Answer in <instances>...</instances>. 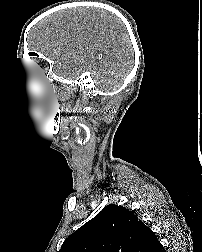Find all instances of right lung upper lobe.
<instances>
[{
    "instance_id": "obj_1",
    "label": "right lung upper lobe",
    "mask_w": 202,
    "mask_h": 252,
    "mask_svg": "<svg viewBox=\"0 0 202 252\" xmlns=\"http://www.w3.org/2000/svg\"><path fill=\"white\" fill-rule=\"evenodd\" d=\"M152 230L122 206L110 204L71 234L58 252H161Z\"/></svg>"
}]
</instances>
